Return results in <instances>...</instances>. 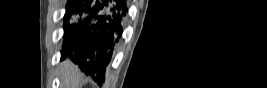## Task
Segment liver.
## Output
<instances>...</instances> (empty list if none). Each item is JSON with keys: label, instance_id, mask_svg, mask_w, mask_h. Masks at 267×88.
<instances>
[{"label": "liver", "instance_id": "1", "mask_svg": "<svg viewBox=\"0 0 267 88\" xmlns=\"http://www.w3.org/2000/svg\"><path fill=\"white\" fill-rule=\"evenodd\" d=\"M60 78L62 88H80L82 73L77 65L66 59L60 65Z\"/></svg>", "mask_w": 267, "mask_h": 88}]
</instances>
